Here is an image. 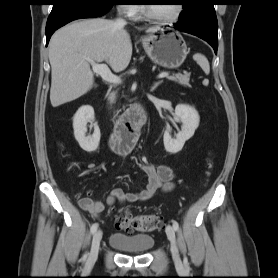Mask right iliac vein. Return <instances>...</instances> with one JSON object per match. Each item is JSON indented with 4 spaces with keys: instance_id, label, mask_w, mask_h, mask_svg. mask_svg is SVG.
<instances>
[{
    "instance_id": "obj_1",
    "label": "right iliac vein",
    "mask_w": 278,
    "mask_h": 278,
    "mask_svg": "<svg viewBox=\"0 0 278 278\" xmlns=\"http://www.w3.org/2000/svg\"><path fill=\"white\" fill-rule=\"evenodd\" d=\"M102 239V231L98 230L94 233L91 243V250L87 260V266L91 267L94 265L98 258L99 246Z\"/></svg>"
}]
</instances>
